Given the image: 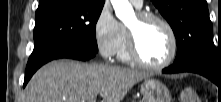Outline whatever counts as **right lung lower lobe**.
<instances>
[{
    "label": "right lung lower lobe",
    "instance_id": "obj_1",
    "mask_svg": "<svg viewBox=\"0 0 221 102\" xmlns=\"http://www.w3.org/2000/svg\"><path fill=\"white\" fill-rule=\"evenodd\" d=\"M96 53L97 52H94L88 48H83L79 46H66L59 48L51 53H48L32 65H27L23 87L26 86L27 82L30 80V78L38 68H40L42 65L51 60L60 58H71L86 61L93 58L96 55Z\"/></svg>",
    "mask_w": 221,
    "mask_h": 102
}]
</instances>
